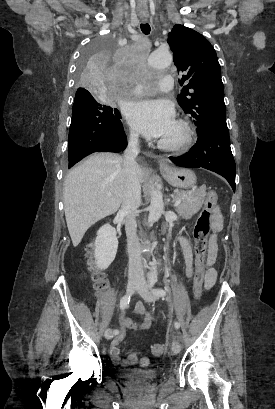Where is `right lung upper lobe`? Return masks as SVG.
<instances>
[{"label": "right lung upper lobe", "mask_w": 275, "mask_h": 409, "mask_svg": "<svg viewBox=\"0 0 275 409\" xmlns=\"http://www.w3.org/2000/svg\"><path fill=\"white\" fill-rule=\"evenodd\" d=\"M77 91H78V92H83V91H87V90H78V89H77Z\"/></svg>", "instance_id": "right-lung-upper-lobe-1"}]
</instances>
